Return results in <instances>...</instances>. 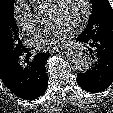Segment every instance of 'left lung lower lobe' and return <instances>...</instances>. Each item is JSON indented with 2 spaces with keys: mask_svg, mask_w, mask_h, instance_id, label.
I'll return each instance as SVG.
<instances>
[{
  "mask_svg": "<svg viewBox=\"0 0 113 113\" xmlns=\"http://www.w3.org/2000/svg\"><path fill=\"white\" fill-rule=\"evenodd\" d=\"M77 40L87 48L86 53L91 56L93 63L89 70L77 74L78 85L91 93L107 89L113 82V34L88 36L82 32Z\"/></svg>",
  "mask_w": 113,
  "mask_h": 113,
  "instance_id": "1",
  "label": "left lung lower lobe"
}]
</instances>
